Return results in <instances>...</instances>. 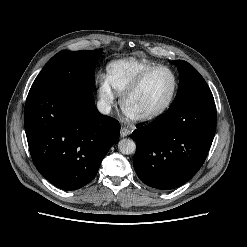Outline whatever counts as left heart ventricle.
I'll list each match as a JSON object with an SVG mask.
<instances>
[{"label": "left heart ventricle", "instance_id": "1", "mask_svg": "<svg viewBox=\"0 0 247 247\" xmlns=\"http://www.w3.org/2000/svg\"><path fill=\"white\" fill-rule=\"evenodd\" d=\"M173 88L171 75L159 70L149 75L139 90L129 99L128 107L134 112H147L159 108L169 98Z\"/></svg>", "mask_w": 247, "mask_h": 247}]
</instances>
